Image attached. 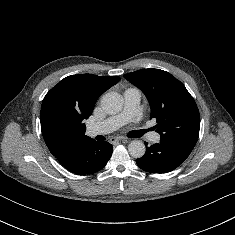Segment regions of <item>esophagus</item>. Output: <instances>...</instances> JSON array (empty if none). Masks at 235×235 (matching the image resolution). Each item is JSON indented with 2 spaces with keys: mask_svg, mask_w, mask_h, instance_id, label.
Listing matches in <instances>:
<instances>
[{
  "mask_svg": "<svg viewBox=\"0 0 235 235\" xmlns=\"http://www.w3.org/2000/svg\"><path fill=\"white\" fill-rule=\"evenodd\" d=\"M109 141L112 144H117L120 141H127V138H125V137H112V138H110Z\"/></svg>",
  "mask_w": 235,
  "mask_h": 235,
  "instance_id": "34e87169",
  "label": "esophagus"
}]
</instances>
